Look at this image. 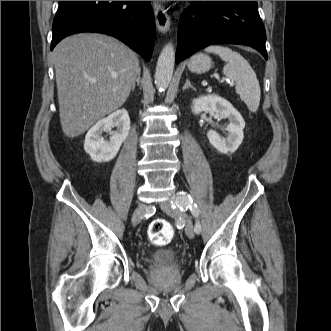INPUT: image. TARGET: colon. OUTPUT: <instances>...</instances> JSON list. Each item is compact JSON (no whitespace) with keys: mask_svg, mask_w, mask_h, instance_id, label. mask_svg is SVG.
Returning <instances> with one entry per match:
<instances>
[{"mask_svg":"<svg viewBox=\"0 0 331 331\" xmlns=\"http://www.w3.org/2000/svg\"><path fill=\"white\" fill-rule=\"evenodd\" d=\"M174 236L172 225L164 220H154L148 228V237L156 245H165L169 243Z\"/></svg>","mask_w":331,"mask_h":331,"instance_id":"obj_1","label":"colon"}]
</instances>
